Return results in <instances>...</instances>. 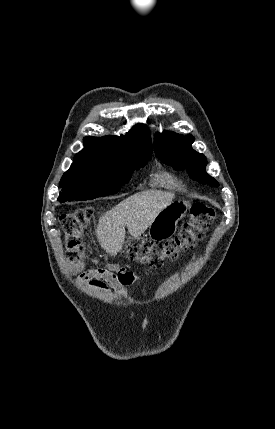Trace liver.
I'll use <instances>...</instances> for the list:
<instances>
[{
	"instance_id": "1",
	"label": "liver",
	"mask_w": 275,
	"mask_h": 429,
	"mask_svg": "<svg viewBox=\"0 0 275 429\" xmlns=\"http://www.w3.org/2000/svg\"><path fill=\"white\" fill-rule=\"evenodd\" d=\"M173 199V193L158 190L143 191L126 198L99 220L95 231L99 244L111 256L117 255L124 244L125 226L133 237L141 236Z\"/></svg>"
}]
</instances>
